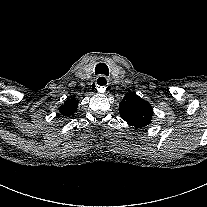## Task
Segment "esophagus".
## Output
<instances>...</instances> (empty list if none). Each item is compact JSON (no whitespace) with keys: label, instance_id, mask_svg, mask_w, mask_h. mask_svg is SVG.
<instances>
[{"label":"esophagus","instance_id":"34e87169","mask_svg":"<svg viewBox=\"0 0 207 207\" xmlns=\"http://www.w3.org/2000/svg\"><path fill=\"white\" fill-rule=\"evenodd\" d=\"M95 85L98 89L106 91V87L109 86V81L105 76H100L96 78Z\"/></svg>","mask_w":207,"mask_h":207}]
</instances>
